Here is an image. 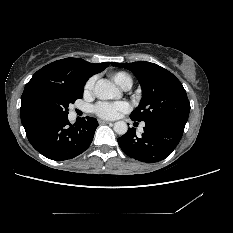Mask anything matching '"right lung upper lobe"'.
Wrapping results in <instances>:
<instances>
[{
    "mask_svg": "<svg viewBox=\"0 0 233 233\" xmlns=\"http://www.w3.org/2000/svg\"><path fill=\"white\" fill-rule=\"evenodd\" d=\"M109 64V62L90 63L80 58H65L38 70L26 84L21 97L20 115L25 131H30L44 122L33 108L34 98L40 90L61 85L84 86L92 75L103 71Z\"/></svg>",
    "mask_w": 233,
    "mask_h": 233,
    "instance_id": "right-lung-upper-lobe-1",
    "label": "right lung upper lobe"
}]
</instances>
